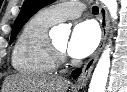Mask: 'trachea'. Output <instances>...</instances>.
Masks as SVG:
<instances>
[{"label":"trachea","instance_id":"3493384b","mask_svg":"<svg viewBox=\"0 0 127 92\" xmlns=\"http://www.w3.org/2000/svg\"><path fill=\"white\" fill-rule=\"evenodd\" d=\"M92 13L93 14H98L99 13V8L97 6L92 7Z\"/></svg>","mask_w":127,"mask_h":92}]
</instances>
